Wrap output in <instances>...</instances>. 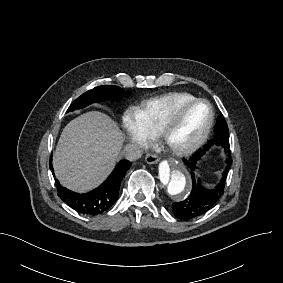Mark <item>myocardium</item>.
<instances>
[{
    "label": "myocardium",
    "mask_w": 283,
    "mask_h": 283,
    "mask_svg": "<svg viewBox=\"0 0 283 283\" xmlns=\"http://www.w3.org/2000/svg\"><path fill=\"white\" fill-rule=\"evenodd\" d=\"M173 102L175 101L169 98H166L163 100L162 109L158 116L159 128L157 132V137L159 141L163 144V146L170 153H172L173 155L177 157H187L195 153L198 149H200L204 145V143L207 141V139L209 138L214 122H215V111H214L212 104L208 100L202 99V98H195V99L185 101V102H177V105L180 108H187L195 104H205L209 110V119L207 121L206 126L200 133V135L197 137V139L192 144L184 148L176 149L169 145V133L166 131V116H165V110L167 108V105Z\"/></svg>",
    "instance_id": "myocardium-1"
}]
</instances>
